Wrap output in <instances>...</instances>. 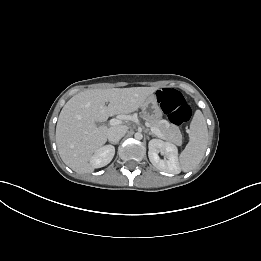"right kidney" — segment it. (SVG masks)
I'll return each instance as SVG.
<instances>
[{"mask_svg":"<svg viewBox=\"0 0 261 261\" xmlns=\"http://www.w3.org/2000/svg\"><path fill=\"white\" fill-rule=\"evenodd\" d=\"M115 154V148L111 145L100 147L90 159V164L94 168H101L111 162Z\"/></svg>","mask_w":261,"mask_h":261,"instance_id":"obj_1","label":"right kidney"}]
</instances>
